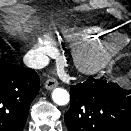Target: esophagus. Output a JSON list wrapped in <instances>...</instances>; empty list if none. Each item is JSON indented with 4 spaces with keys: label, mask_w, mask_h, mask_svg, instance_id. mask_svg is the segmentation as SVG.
<instances>
[{
    "label": "esophagus",
    "mask_w": 131,
    "mask_h": 131,
    "mask_svg": "<svg viewBox=\"0 0 131 131\" xmlns=\"http://www.w3.org/2000/svg\"><path fill=\"white\" fill-rule=\"evenodd\" d=\"M57 85H58V83H57V81H56L55 79H48V80H46V82H45V88H46L47 90H52V89H54L55 87H57Z\"/></svg>",
    "instance_id": "obj_1"
}]
</instances>
